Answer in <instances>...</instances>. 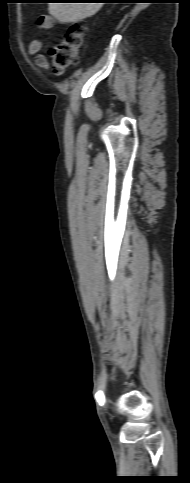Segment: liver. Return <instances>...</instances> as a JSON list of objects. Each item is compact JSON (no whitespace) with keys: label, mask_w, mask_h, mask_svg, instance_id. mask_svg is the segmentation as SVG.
<instances>
[{"label":"liver","mask_w":190,"mask_h":483,"mask_svg":"<svg viewBox=\"0 0 190 483\" xmlns=\"http://www.w3.org/2000/svg\"><path fill=\"white\" fill-rule=\"evenodd\" d=\"M103 3H49V12L60 23H77L93 16Z\"/></svg>","instance_id":"liver-1"}]
</instances>
